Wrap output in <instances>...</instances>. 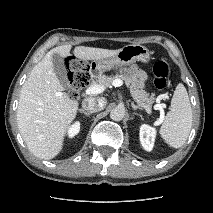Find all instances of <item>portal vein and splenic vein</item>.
Instances as JSON below:
<instances>
[{"mask_svg": "<svg viewBox=\"0 0 213 213\" xmlns=\"http://www.w3.org/2000/svg\"><path fill=\"white\" fill-rule=\"evenodd\" d=\"M112 85L114 87H120L123 85V81L121 79H115L113 82H112ZM105 90V87L103 85H91L90 87H88L86 90H85V93L87 95H95V94H100L102 93L103 91ZM163 108H164V105L163 104H156L154 106V109L155 110H160L161 112V117H163ZM146 111L147 113H151L150 109L148 107H146Z\"/></svg>", "mask_w": 213, "mask_h": 213, "instance_id": "1", "label": "portal vein and splenic vein"}]
</instances>
